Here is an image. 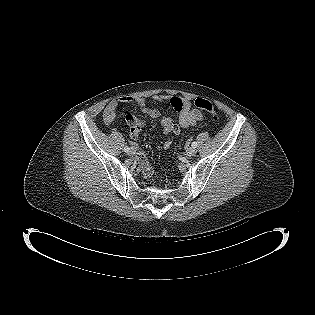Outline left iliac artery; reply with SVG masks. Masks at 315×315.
<instances>
[{"label": "left iliac artery", "instance_id": "obj_1", "mask_svg": "<svg viewBox=\"0 0 315 315\" xmlns=\"http://www.w3.org/2000/svg\"><path fill=\"white\" fill-rule=\"evenodd\" d=\"M192 147H193V148H196V147H197V142H195V141L192 142Z\"/></svg>", "mask_w": 315, "mask_h": 315}]
</instances>
